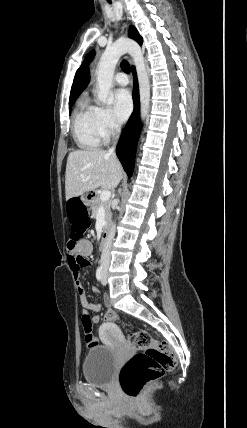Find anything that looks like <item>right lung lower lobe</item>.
<instances>
[{"mask_svg": "<svg viewBox=\"0 0 247 428\" xmlns=\"http://www.w3.org/2000/svg\"><path fill=\"white\" fill-rule=\"evenodd\" d=\"M132 72L135 83V88L132 95L134 101V111L120 136V140L116 149L117 156L129 177H131L134 169L136 147L141 130L139 118V91L134 67L132 68Z\"/></svg>", "mask_w": 247, "mask_h": 428, "instance_id": "obj_1", "label": "right lung lower lobe"}]
</instances>
